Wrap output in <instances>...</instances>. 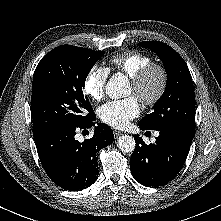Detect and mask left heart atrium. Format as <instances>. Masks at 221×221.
<instances>
[{
	"mask_svg": "<svg viewBox=\"0 0 221 221\" xmlns=\"http://www.w3.org/2000/svg\"><path fill=\"white\" fill-rule=\"evenodd\" d=\"M140 113L139 102L132 96L123 100L109 101L98 109V116L101 121L118 129L128 126L130 121L137 118Z\"/></svg>",
	"mask_w": 221,
	"mask_h": 221,
	"instance_id": "obj_1",
	"label": "left heart atrium"
}]
</instances>
